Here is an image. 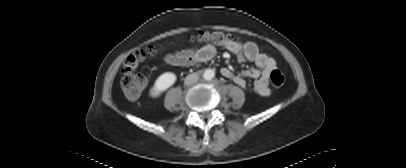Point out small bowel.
I'll return each instance as SVG.
<instances>
[{
    "label": "small bowel",
    "mask_w": 406,
    "mask_h": 168,
    "mask_svg": "<svg viewBox=\"0 0 406 168\" xmlns=\"http://www.w3.org/2000/svg\"><path fill=\"white\" fill-rule=\"evenodd\" d=\"M224 48L237 55L240 61L254 63L258 69H248L234 73L231 69L223 67L221 74L243 88H247V79L251 78L254 80L253 91L262 97L269 96L270 90L268 84L270 73L277 68L274 58L261 52L257 44L252 41H236ZM215 53L216 50L213 46H205L199 49H184L168 54L165 57V61L173 66L198 65L213 58Z\"/></svg>",
    "instance_id": "obj_1"
}]
</instances>
